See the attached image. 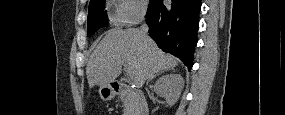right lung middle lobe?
Wrapping results in <instances>:
<instances>
[{
  "label": "right lung middle lobe",
  "instance_id": "obj_1",
  "mask_svg": "<svg viewBox=\"0 0 285 115\" xmlns=\"http://www.w3.org/2000/svg\"><path fill=\"white\" fill-rule=\"evenodd\" d=\"M105 0H91L89 3L87 36L93 35L98 29L108 25V16L104 10Z\"/></svg>",
  "mask_w": 285,
  "mask_h": 115
}]
</instances>
